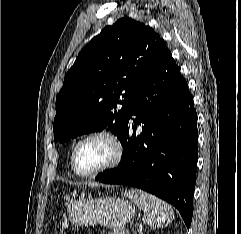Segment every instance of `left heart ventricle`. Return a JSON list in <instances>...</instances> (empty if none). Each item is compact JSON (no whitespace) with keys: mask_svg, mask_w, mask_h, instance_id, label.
I'll list each match as a JSON object with an SVG mask.
<instances>
[{"mask_svg":"<svg viewBox=\"0 0 241 234\" xmlns=\"http://www.w3.org/2000/svg\"><path fill=\"white\" fill-rule=\"evenodd\" d=\"M113 147L105 138H93L80 145L76 153V167L80 172H91L111 160Z\"/></svg>","mask_w":241,"mask_h":234,"instance_id":"1","label":"left heart ventricle"}]
</instances>
